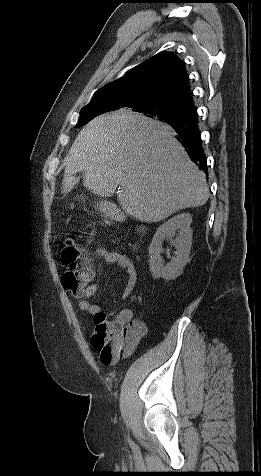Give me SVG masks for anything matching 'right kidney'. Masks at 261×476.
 Masks as SVG:
<instances>
[{
  "mask_svg": "<svg viewBox=\"0 0 261 476\" xmlns=\"http://www.w3.org/2000/svg\"><path fill=\"white\" fill-rule=\"evenodd\" d=\"M192 216L182 213L172 217L157 229L149 246V266L154 278L174 280L182 273L183 267L187 264L192 245ZM176 231L178 234L173 240ZM165 239H170L176 248L175 256L170 262L164 265L161 256L163 252L162 244ZM169 257V256H168Z\"/></svg>",
  "mask_w": 261,
  "mask_h": 476,
  "instance_id": "ca27d5eb",
  "label": "right kidney"
}]
</instances>
